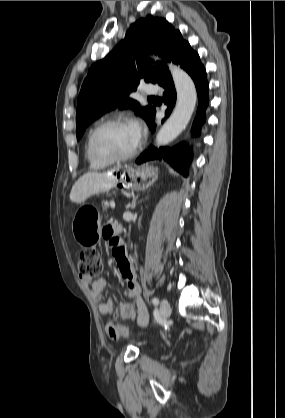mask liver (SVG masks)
<instances>
[{
	"instance_id": "1",
	"label": "liver",
	"mask_w": 285,
	"mask_h": 418,
	"mask_svg": "<svg viewBox=\"0 0 285 418\" xmlns=\"http://www.w3.org/2000/svg\"><path fill=\"white\" fill-rule=\"evenodd\" d=\"M114 170L105 173L88 172L82 175L73 185L70 200L82 203L88 197L111 189L117 182Z\"/></svg>"
}]
</instances>
